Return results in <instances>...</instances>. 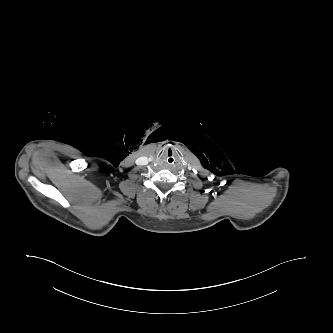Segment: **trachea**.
<instances>
[{"instance_id": "3493384b", "label": "trachea", "mask_w": 333, "mask_h": 333, "mask_svg": "<svg viewBox=\"0 0 333 333\" xmlns=\"http://www.w3.org/2000/svg\"><path fill=\"white\" fill-rule=\"evenodd\" d=\"M164 160L168 164H174L177 161V155L173 151H168L164 155Z\"/></svg>"}]
</instances>
